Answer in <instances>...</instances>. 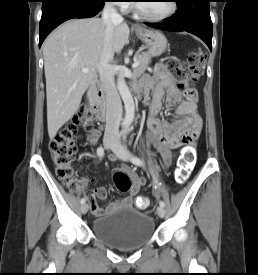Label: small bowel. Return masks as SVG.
Here are the masks:
<instances>
[{
  "label": "small bowel",
  "instance_id": "obj_1",
  "mask_svg": "<svg viewBox=\"0 0 258 275\" xmlns=\"http://www.w3.org/2000/svg\"><path fill=\"white\" fill-rule=\"evenodd\" d=\"M137 87L140 88V97L149 104L146 140L160 153L164 165L169 167L174 159L173 150L181 146L192 147L201 133L202 119L197 112V95L194 91H188L184 95L185 100H183L173 77L162 64H157L154 67L153 76L144 77ZM151 89L153 96L149 102L148 93ZM163 106H176V118L174 120L169 122L157 118V114ZM100 134L99 128L90 130L87 134L88 142L90 144L97 143ZM110 160L116 161L117 158L111 155ZM118 170L125 172L130 177L132 182L130 194L125 198L109 203L105 209H102L97 200L106 199L107 190L105 187L96 188L88 194L90 209L96 217L105 213H112L120 207H131L134 197L140 188L146 184V178L138 176L133 170L123 166L119 167Z\"/></svg>",
  "mask_w": 258,
  "mask_h": 275
}]
</instances>
